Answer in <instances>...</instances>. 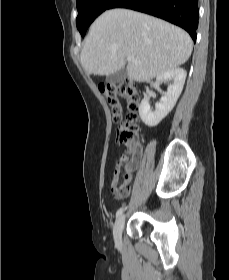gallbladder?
<instances>
[{"mask_svg":"<svg viewBox=\"0 0 229 280\" xmlns=\"http://www.w3.org/2000/svg\"><path fill=\"white\" fill-rule=\"evenodd\" d=\"M127 76V71L125 68L120 69L119 71L112 73L106 77V82L108 83H120L122 82Z\"/></svg>","mask_w":229,"mask_h":280,"instance_id":"bac80fb5","label":"gallbladder"}]
</instances>
